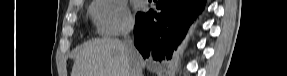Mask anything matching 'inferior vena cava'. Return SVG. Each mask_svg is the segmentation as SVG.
Listing matches in <instances>:
<instances>
[{
    "instance_id": "602c4592",
    "label": "inferior vena cava",
    "mask_w": 287,
    "mask_h": 76,
    "mask_svg": "<svg viewBox=\"0 0 287 76\" xmlns=\"http://www.w3.org/2000/svg\"><path fill=\"white\" fill-rule=\"evenodd\" d=\"M132 29L133 25L130 24L126 27L123 33L125 54L127 55L131 65L130 76H142V67L137 59V50L134 46V41L129 36Z\"/></svg>"
}]
</instances>
